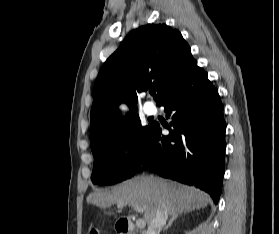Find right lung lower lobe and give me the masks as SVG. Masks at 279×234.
I'll list each match as a JSON object with an SVG mask.
<instances>
[{
  "mask_svg": "<svg viewBox=\"0 0 279 234\" xmlns=\"http://www.w3.org/2000/svg\"><path fill=\"white\" fill-rule=\"evenodd\" d=\"M158 105L164 106L174 129L162 136L161 126L152 124L141 163L162 177L206 191L218 203L226 147L224 108L218 90L196 62Z\"/></svg>",
  "mask_w": 279,
  "mask_h": 234,
  "instance_id": "right-lung-lower-lobe-1",
  "label": "right lung lower lobe"
}]
</instances>
